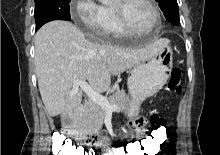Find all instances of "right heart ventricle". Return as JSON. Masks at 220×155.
Returning a JSON list of instances; mask_svg holds the SVG:
<instances>
[{
  "instance_id": "1",
  "label": "right heart ventricle",
  "mask_w": 220,
  "mask_h": 155,
  "mask_svg": "<svg viewBox=\"0 0 220 155\" xmlns=\"http://www.w3.org/2000/svg\"><path fill=\"white\" fill-rule=\"evenodd\" d=\"M103 9L106 18V26L102 35L109 38H122L128 36L129 34L122 27L114 7L103 6Z\"/></svg>"
}]
</instances>
